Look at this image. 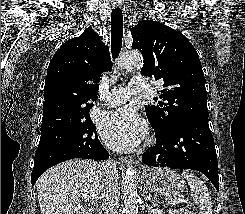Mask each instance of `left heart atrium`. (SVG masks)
Returning <instances> with one entry per match:
<instances>
[{"label": "left heart atrium", "mask_w": 245, "mask_h": 214, "mask_svg": "<svg viewBox=\"0 0 245 214\" xmlns=\"http://www.w3.org/2000/svg\"><path fill=\"white\" fill-rule=\"evenodd\" d=\"M105 143L117 151L135 148L145 138L147 125L131 107L105 113L98 122Z\"/></svg>", "instance_id": "obj_1"}]
</instances>
